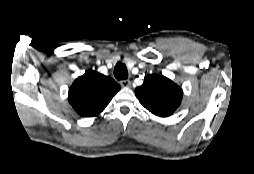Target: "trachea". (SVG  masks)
<instances>
[{"instance_id":"trachea-1","label":"trachea","mask_w":254,"mask_h":174,"mask_svg":"<svg viewBox=\"0 0 254 174\" xmlns=\"http://www.w3.org/2000/svg\"><path fill=\"white\" fill-rule=\"evenodd\" d=\"M114 76L119 80H125L128 78V71L123 63H117L114 68Z\"/></svg>"}]
</instances>
